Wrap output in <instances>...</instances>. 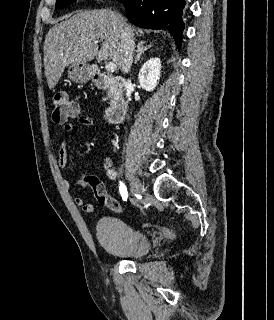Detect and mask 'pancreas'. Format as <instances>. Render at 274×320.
Wrapping results in <instances>:
<instances>
[{
    "label": "pancreas",
    "instance_id": "pancreas-1",
    "mask_svg": "<svg viewBox=\"0 0 274 320\" xmlns=\"http://www.w3.org/2000/svg\"><path fill=\"white\" fill-rule=\"evenodd\" d=\"M106 94L110 100V104H112V102H115V98H118L117 88H114V86L108 88Z\"/></svg>",
    "mask_w": 274,
    "mask_h": 320
}]
</instances>
